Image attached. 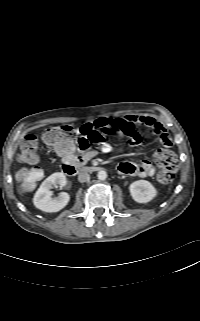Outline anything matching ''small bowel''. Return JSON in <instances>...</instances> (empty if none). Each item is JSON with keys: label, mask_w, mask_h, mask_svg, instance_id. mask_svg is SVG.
Returning a JSON list of instances; mask_svg holds the SVG:
<instances>
[{"label": "small bowel", "mask_w": 200, "mask_h": 321, "mask_svg": "<svg viewBox=\"0 0 200 321\" xmlns=\"http://www.w3.org/2000/svg\"><path fill=\"white\" fill-rule=\"evenodd\" d=\"M85 126L95 130H102L106 131L107 133L115 134L116 136L126 140V142L131 146H136L139 144L141 140L139 127L144 126L148 128L155 137L159 138L165 148L158 150L154 154L155 158L165 150H169L173 145L172 138L165 128L151 116L127 115L116 118L101 117L91 123L85 124ZM111 150V145L104 142L100 146L99 151H88L82 155L71 153L69 151H60V154L63 156L64 161L67 164H84L93 158L98 152L106 154ZM117 170L123 175L139 177L152 176L155 173V167L153 163L146 159L139 163L129 161L121 162L118 164Z\"/></svg>", "instance_id": "small-bowel-1"}]
</instances>
